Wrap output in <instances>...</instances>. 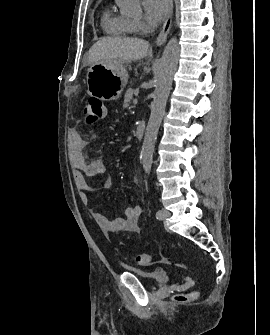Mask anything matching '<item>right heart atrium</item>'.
<instances>
[{"label":"right heart atrium","mask_w":270,"mask_h":335,"mask_svg":"<svg viewBox=\"0 0 270 335\" xmlns=\"http://www.w3.org/2000/svg\"><path fill=\"white\" fill-rule=\"evenodd\" d=\"M133 33L142 35L145 33V25L141 21H133Z\"/></svg>","instance_id":"obj_1"}]
</instances>
